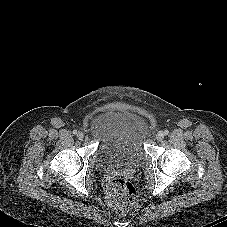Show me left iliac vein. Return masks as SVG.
Segmentation results:
<instances>
[{
  "mask_svg": "<svg viewBox=\"0 0 227 227\" xmlns=\"http://www.w3.org/2000/svg\"><path fill=\"white\" fill-rule=\"evenodd\" d=\"M164 136H165V133L163 131H158L156 134V139L158 141H161V140H163Z\"/></svg>",
  "mask_w": 227,
  "mask_h": 227,
  "instance_id": "4c4485c4",
  "label": "left iliac vein"
}]
</instances>
